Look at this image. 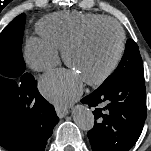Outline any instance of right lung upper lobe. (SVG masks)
I'll list each match as a JSON object with an SVG mask.
<instances>
[{
  "instance_id": "right-lung-upper-lobe-1",
  "label": "right lung upper lobe",
  "mask_w": 151,
  "mask_h": 151,
  "mask_svg": "<svg viewBox=\"0 0 151 151\" xmlns=\"http://www.w3.org/2000/svg\"><path fill=\"white\" fill-rule=\"evenodd\" d=\"M10 116L5 107L0 108V137H5L10 130Z\"/></svg>"
}]
</instances>
